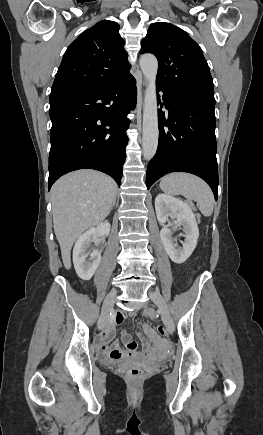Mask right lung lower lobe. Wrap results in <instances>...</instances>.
<instances>
[{"label": "right lung lower lobe", "mask_w": 263, "mask_h": 435, "mask_svg": "<svg viewBox=\"0 0 263 435\" xmlns=\"http://www.w3.org/2000/svg\"><path fill=\"white\" fill-rule=\"evenodd\" d=\"M134 77L124 78L90 92L50 102L48 189L62 175L83 168L110 175L121 184L127 114L136 105Z\"/></svg>", "instance_id": "obj_1"}]
</instances>
